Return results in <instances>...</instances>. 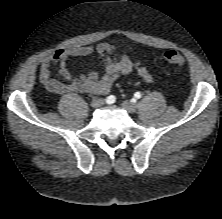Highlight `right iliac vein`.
Returning a JSON list of instances; mask_svg holds the SVG:
<instances>
[{"mask_svg":"<svg viewBox=\"0 0 222 219\" xmlns=\"http://www.w3.org/2000/svg\"><path fill=\"white\" fill-rule=\"evenodd\" d=\"M103 104H104V100H103V99H100V98L94 99V100L91 102V106H92L93 108H98V107L102 106Z\"/></svg>","mask_w":222,"mask_h":219,"instance_id":"1","label":"right iliac vein"}]
</instances>
